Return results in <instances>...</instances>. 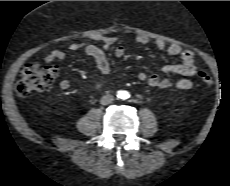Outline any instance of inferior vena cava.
Returning a JSON list of instances; mask_svg holds the SVG:
<instances>
[{
  "mask_svg": "<svg viewBox=\"0 0 230 186\" xmlns=\"http://www.w3.org/2000/svg\"><path fill=\"white\" fill-rule=\"evenodd\" d=\"M113 100H114V96L111 95V94H107V95H105V96H103V97L101 98L100 103H101L102 105H108V104H110Z\"/></svg>",
  "mask_w": 230,
  "mask_h": 186,
  "instance_id": "1",
  "label": "inferior vena cava"
}]
</instances>
